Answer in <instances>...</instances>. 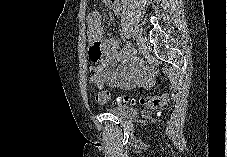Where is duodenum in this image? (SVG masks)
<instances>
[{
	"instance_id": "1",
	"label": "duodenum",
	"mask_w": 227,
	"mask_h": 157,
	"mask_svg": "<svg viewBox=\"0 0 227 157\" xmlns=\"http://www.w3.org/2000/svg\"><path fill=\"white\" fill-rule=\"evenodd\" d=\"M117 1H118V0H110L112 9H113V11H114L116 14H118L119 11H120V10H119V7H118V4H117Z\"/></svg>"
}]
</instances>
